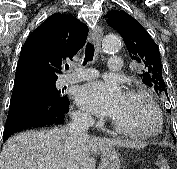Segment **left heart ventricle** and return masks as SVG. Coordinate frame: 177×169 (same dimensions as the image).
Wrapping results in <instances>:
<instances>
[{
    "label": "left heart ventricle",
    "instance_id": "1",
    "mask_svg": "<svg viewBox=\"0 0 177 169\" xmlns=\"http://www.w3.org/2000/svg\"><path fill=\"white\" fill-rule=\"evenodd\" d=\"M112 119L132 132L151 131L157 125L155 113L144 99L126 95Z\"/></svg>",
    "mask_w": 177,
    "mask_h": 169
}]
</instances>
